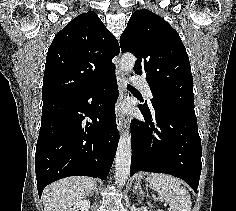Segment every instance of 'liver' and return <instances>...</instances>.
<instances>
[{"label":"liver","instance_id":"obj_1","mask_svg":"<svg viewBox=\"0 0 236 211\" xmlns=\"http://www.w3.org/2000/svg\"><path fill=\"white\" fill-rule=\"evenodd\" d=\"M94 189L92 178L75 176L48 185L42 194L44 211H68Z\"/></svg>","mask_w":236,"mask_h":211}]
</instances>
